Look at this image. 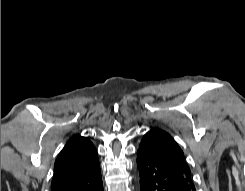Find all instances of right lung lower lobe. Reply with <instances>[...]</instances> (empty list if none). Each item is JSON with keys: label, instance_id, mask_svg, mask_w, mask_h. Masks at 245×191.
I'll return each instance as SVG.
<instances>
[{"label": "right lung lower lobe", "instance_id": "98d812e1", "mask_svg": "<svg viewBox=\"0 0 245 191\" xmlns=\"http://www.w3.org/2000/svg\"><path fill=\"white\" fill-rule=\"evenodd\" d=\"M58 191H104L100 167L90 175L66 184Z\"/></svg>", "mask_w": 245, "mask_h": 191}]
</instances>
